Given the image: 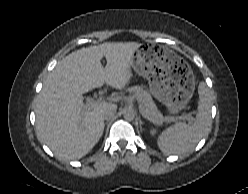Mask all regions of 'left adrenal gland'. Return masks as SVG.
Returning <instances> with one entry per match:
<instances>
[{
    "mask_svg": "<svg viewBox=\"0 0 248 194\" xmlns=\"http://www.w3.org/2000/svg\"><path fill=\"white\" fill-rule=\"evenodd\" d=\"M142 124V121L140 120V125Z\"/></svg>",
    "mask_w": 248,
    "mask_h": 194,
    "instance_id": "left-adrenal-gland-1",
    "label": "left adrenal gland"
}]
</instances>
